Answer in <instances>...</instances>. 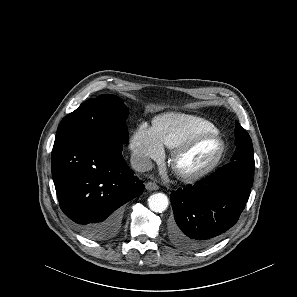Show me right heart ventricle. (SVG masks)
<instances>
[{"label":"right heart ventricle","mask_w":297,"mask_h":297,"mask_svg":"<svg viewBox=\"0 0 297 297\" xmlns=\"http://www.w3.org/2000/svg\"><path fill=\"white\" fill-rule=\"evenodd\" d=\"M153 129L162 145L174 149L191 136L204 131H214L216 127L200 116L167 113L155 119Z\"/></svg>","instance_id":"right-heart-ventricle-1"}]
</instances>
